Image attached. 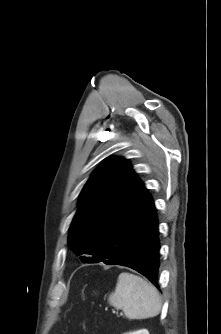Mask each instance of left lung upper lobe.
Returning a JSON list of instances; mask_svg holds the SVG:
<instances>
[{
    "instance_id": "5c2ea615",
    "label": "left lung upper lobe",
    "mask_w": 221,
    "mask_h": 334,
    "mask_svg": "<svg viewBox=\"0 0 221 334\" xmlns=\"http://www.w3.org/2000/svg\"><path fill=\"white\" fill-rule=\"evenodd\" d=\"M141 181L123 158L99 166L82 189L78 211L71 223L68 244L86 263L95 259L98 242L121 212Z\"/></svg>"
}]
</instances>
